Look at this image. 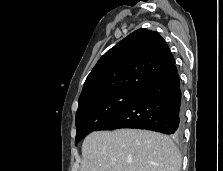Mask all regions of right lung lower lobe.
<instances>
[{"instance_id": "98d812e1", "label": "right lung lower lobe", "mask_w": 223, "mask_h": 171, "mask_svg": "<svg viewBox=\"0 0 223 171\" xmlns=\"http://www.w3.org/2000/svg\"><path fill=\"white\" fill-rule=\"evenodd\" d=\"M139 128L180 138L183 134V104L180 80L174 65L138 92L136 97L98 130Z\"/></svg>"}]
</instances>
